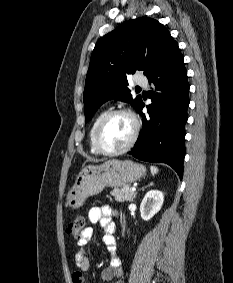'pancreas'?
Wrapping results in <instances>:
<instances>
[{
	"label": "pancreas",
	"instance_id": "obj_1",
	"mask_svg": "<svg viewBox=\"0 0 233 283\" xmlns=\"http://www.w3.org/2000/svg\"><path fill=\"white\" fill-rule=\"evenodd\" d=\"M111 195L115 198L116 201L124 202L132 201L135 193L131 191V187L129 185H125L122 188L113 189L111 191Z\"/></svg>",
	"mask_w": 233,
	"mask_h": 283
}]
</instances>
